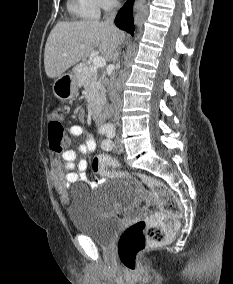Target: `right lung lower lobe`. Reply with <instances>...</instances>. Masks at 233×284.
<instances>
[{
	"instance_id": "right-lung-lower-lobe-1",
	"label": "right lung lower lobe",
	"mask_w": 233,
	"mask_h": 284,
	"mask_svg": "<svg viewBox=\"0 0 233 284\" xmlns=\"http://www.w3.org/2000/svg\"><path fill=\"white\" fill-rule=\"evenodd\" d=\"M135 0H127L124 6L119 10L116 18L115 24L131 35L134 33V21H133V3Z\"/></svg>"
}]
</instances>
